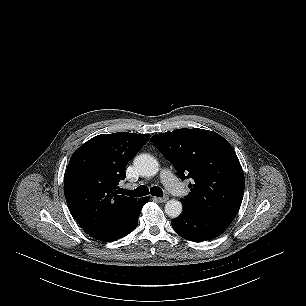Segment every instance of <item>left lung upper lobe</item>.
Wrapping results in <instances>:
<instances>
[{
    "instance_id": "1",
    "label": "left lung upper lobe",
    "mask_w": 306,
    "mask_h": 306,
    "mask_svg": "<svg viewBox=\"0 0 306 306\" xmlns=\"http://www.w3.org/2000/svg\"><path fill=\"white\" fill-rule=\"evenodd\" d=\"M151 141L173 164L181 180L193 179L182 205L235 217L245 179L233 147L222 136L198 128L178 129L156 134Z\"/></svg>"
}]
</instances>
